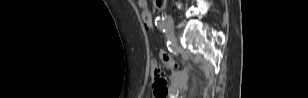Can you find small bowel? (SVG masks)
I'll use <instances>...</instances> for the list:
<instances>
[{
  "instance_id": "obj_1",
  "label": "small bowel",
  "mask_w": 308,
  "mask_h": 98,
  "mask_svg": "<svg viewBox=\"0 0 308 98\" xmlns=\"http://www.w3.org/2000/svg\"><path fill=\"white\" fill-rule=\"evenodd\" d=\"M137 4L141 9H153V10L161 8V5H162L161 1H154L151 5H149L148 1H146V0H138ZM143 17L144 16H142V19H143ZM143 22H144V20H143ZM151 23H152V21H151Z\"/></svg>"
}]
</instances>
